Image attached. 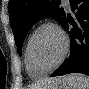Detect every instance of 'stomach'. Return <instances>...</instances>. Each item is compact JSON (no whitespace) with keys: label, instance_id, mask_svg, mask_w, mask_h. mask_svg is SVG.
Segmentation results:
<instances>
[{"label":"stomach","instance_id":"1","mask_svg":"<svg viewBox=\"0 0 89 89\" xmlns=\"http://www.w3.org/2000/svg\"><path fill=\"white\" fill-rule=\"evenodd\" d=\"M40 89H70L68 83L60 79L58 83Z\"/></svg>","mask_w":89,"mask_h":89}]
</instances>
